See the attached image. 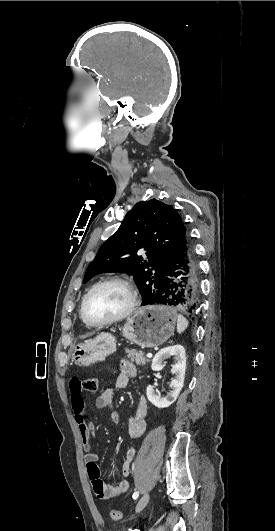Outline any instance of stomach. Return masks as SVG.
<instances>
[{"label":"stomach","instance_id":"obj_1","mask_svg":"<svg viewBox=\"0 0 275 531\" xmlns=\"http://www.w3.org/2000/svg\"><path fill=\"white\" fill-rule=\"evenodd\" d=\"M177 313L171 309L169 301H149L122 327L123 337L139 345L142 349H152L172 337ZM116 351V339L110 333H101L95 339L75 345L72 361L79 367H90Z\"/></svg>","mask_w":275,"mask_h":531}]
</instances>
